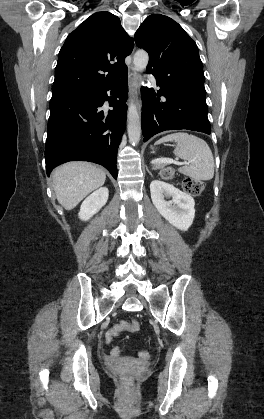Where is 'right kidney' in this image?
<instances>
[{
    "mask_svg": "<svg viewBox=\"0 0 264 419\" xmlns=\"http://www.w3.org/2000/svg\"><path fill=\"white\" fill-rule=\"evenodd\" d=\"M109 191L106 187H101L89 195L81 204L79 218L83 221L89 220L96 214L108 200Z\"/></svg>",
    "mask_w": 264,
    "mask_h": 419,
    "instance_id": "1",
    "label": "right kidney"
}]
</instances>
